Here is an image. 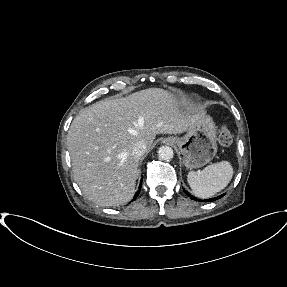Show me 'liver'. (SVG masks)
Here are the masks:
<instances>
[{
    "mask_svg": "<svg viewBox=\"0 0 287 287\" xmlns=\"http://www.w3.org/2000/svg\"><path fill=\"white\" fill-rule=\"evenodd\" d=\"M205 111L162 88L140 90L124 98H107L82 109L67 135L73 177L83 194L103 206L131 200L140 141L151 149L157 134H181Z\"/></svg>",
    "mask_w": 287,
    "mask_h": 287,
    "instance_id": "obj_1",
    "label": "liver"
}]
</instances>
